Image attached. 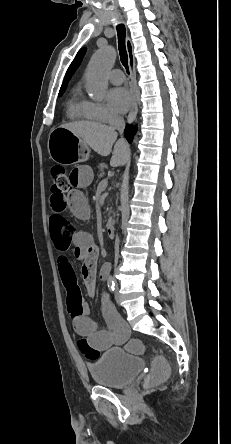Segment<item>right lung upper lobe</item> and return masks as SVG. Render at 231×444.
Segmentation results:
<instances>
[{
	"label": "right lung upper lobe",
	"mask_w": 231,
	"mask_h": 444,
	"mask_svg": "<svg viewBox=\"0 0 231 444\" xmlns=\"http://www.w3.org/2000/svg\"><path fill=\"white\" fill-rule=\"evenodd\" d=\"M85 52H86V48H83L77 53L76 57L74 58L73 62L71 63V65L69 66V68L66 72L64 82L61 86V89L66 88L68 81L70 80V78L72 77V75L74 74L76 69L79 67V65L82 61V58L84 57Z\"/></svg>",
	"instance_id": "1"
}]
</instances>
